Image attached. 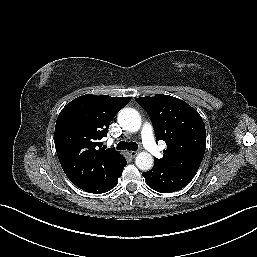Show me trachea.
Segmentation results:
<instances>
[{"label":"trachea","instance_id":"3493384b","mask_svg":"<svg viewBox=\"0 0 257 257\" xmlns=\"http://www.w3.org/2000/svg\"><path fill=\"white\" fill-rule=\"evenodd\" d=\"M118 150H132L136 151L138 149V145L135 142H125L121 141L118 143L117 147Z\"/></svg>","mask_w":257,"mask_h":257}]
</instances>
